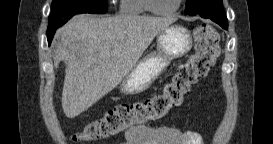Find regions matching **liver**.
<instances>
[{
    "label": "liver",
    "mask_w": 273,
    "mask_h": 144,
    "mask_svg": "<svg viewBox=\"0 0 273 144\" xmlns=\"http://www.w3.org/2000/svg\"><path fill=\"white\" fill-rule=\"evenodd\" d=\"M173 18L76 15L59 31L54 66L66 63L62 108L75 118L130 73L143 52Z\"/></svg>",
    "instance_id": "1"
}]
</instances>
